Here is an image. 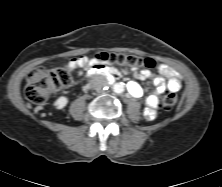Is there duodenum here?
I'll list each match as a JSON object with an SVG mask.
<instances>
[{
	"mask_svg": "<svg viewBox=\"0 0 222 187\" xmlns=\"http://www.w3.org/2000/svg\"><path fill=\"white\" fill-rule=\"evenodd\" d=\"M92 74H101V73H106L107 71L105 69H95L91 71ZM108 78L113 81L115 79V76L112 73H109Z\"/></svg>",
	"mask_w": 222,
	"mask_h": 187,
	"instance_id": "duodenum-1",
	"label": "duodenum"
}]
</instances>
